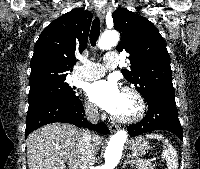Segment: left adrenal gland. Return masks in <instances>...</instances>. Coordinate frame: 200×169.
I'll use <instances>...</instances> for the list:
<instances>
[{"label":"left adrenal gland","mask_w":200,"mask_h":169,"mask_svg":"<svg viewBox=\"0 0 200 169\" xmlns=\"http://www.w3.org/2000/svg\"><path fill=\"white\" fill-rule=\"evenodd\" d=\"M127 164H130V166H133V162L130 160V156H127V159L123 163V167H125Z\"/></svg>","instance_id":"left-adrenal-gland-1"}]
</instances>
